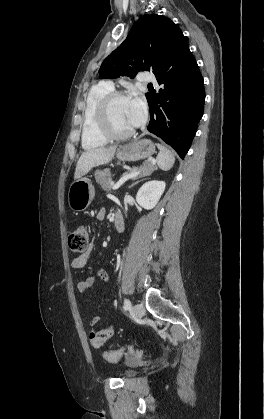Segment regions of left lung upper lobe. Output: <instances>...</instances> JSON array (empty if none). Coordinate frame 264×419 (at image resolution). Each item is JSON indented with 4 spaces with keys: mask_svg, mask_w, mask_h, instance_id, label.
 I'll list each match as a JSON object with an SVG mask.
<instances>
[{
    "mask_svg": "<svg viewBox=\"0 0 264 419\" xmlns=\"http://www.w3.org/2000/svg\"><path fill=\"white\" fill-rule=\"evenodd\" d=\"M182 33L169 18L157 14L144 15L132 26L124 42L114 50L99 69L101 78L130 76L162 67L167 46Z\"/></svg>",
    "mask_w": 264,
    "mask_h": 419,
    "instance_id": "obj_1",
    "label": "left lung upper lobe"
}]
</instances>
